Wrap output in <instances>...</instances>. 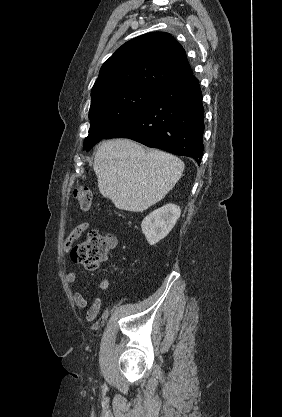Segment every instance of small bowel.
Here are the masks:
<instances>
[{
  "mask_svg": "<svg viewBox=\"0 0 282 417\" xmlns=\"http://www.w3.org/2000/svg\"><path fill=\"white\" fill-rule=\"evenodd\" d=\"M90 228V224L88 222H82L77 224L72 231L69 233L68 237L65 239L64 242V252L67 253L74 242H76L83 233H85ZM103 238L107 244L108 248H114L117 244V238L111 233H104ZM66 280L69 283H74L77 280V272L75 270H69L66 272ZM110 287V281L107 278H102L98 283V290L100 293L105 292ZM73 301L75 305L79 308H85L87 306V300L80 292L73 293ZM101 297L97 296L92 304L89 306L86 312V320L91 322L95 320L97 317L100 308H101Z\"/></svg>",
  "mask_w": 282,
  "mask_h": 417,
  "instance_id": "small-bowel-1",
  "label": "small bowel"
}]
</instances>
